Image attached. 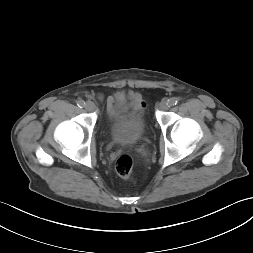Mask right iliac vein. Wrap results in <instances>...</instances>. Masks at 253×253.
<instances>
[{
  "mask_svg": "<svg viewBox=\"0 0 253 253\" xmlns=\"http://www.w3.org/2000/svg\"><path fill=\"white\" fill-rule=\"evenodd\" d=\"M85 109L87 111H93L95 109V104L92 101H87L85 104Z\"/></svg>",
  "mask_w": 253,
  "mask_h": 253,
  "instance_id": "obj_1",
  "label": "right iliac vein"
}]
</instances>
